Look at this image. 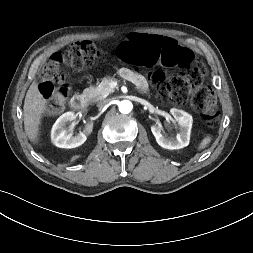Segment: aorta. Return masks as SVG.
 Instances as JSON below:
<instances>
[{
  "label": "aorta",
  "instance_id": "762f6f07",
  "mask_svg": "<svg viewBox=\"0 0 253 253\" xmlns=\"http://www.w3.org/2000/svg\"><path fill=\"white\" fill-rule=\"evenodd\" d=\"M133 108L132 102L129 100H123L119 103V111L123 114H128Z\"/></svg>",
  "mask_w": 253,
  "mask_h": 253
}]
</instances>
